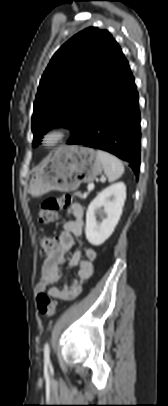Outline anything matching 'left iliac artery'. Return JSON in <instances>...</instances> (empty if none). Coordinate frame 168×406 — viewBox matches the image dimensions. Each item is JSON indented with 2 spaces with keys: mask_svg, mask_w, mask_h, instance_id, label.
<instances>
[{
  "mask_svg": "<svg viewBox=\"0 0 168 406\" xmlns=\"http://www.w3.org/2000/svg\"><path fill=\"white\" fill-rule=\"evenodd\" d=\"M44 360L46 363L50 362V349L48 343H46L44 346Z\"/></svg>",
  "mask_w": 168,
  "mask_h": 406,
  "instance_id": "44dca946",
  "label": "left iliac artery"
}]
</instances>
